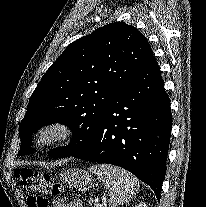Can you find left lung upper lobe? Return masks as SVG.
<instances>
[{
    "label": "left lung upper lobe",
    "mask_w": 206,
    "mask_h": 207,
    "mask_svg": "<svg viewBox=\"0 0 206 207\" xmlns=\"http://www.w3.org/2000/svg\"><path fill=\"white\" fill-rule=\"evenodd\" d=\"M153 57L135 27L123 22L105 25L71 43L42 77L20 123L19 155L33 153L31 132L62 122L74 132L70 144L49 155L67 157L93 140L112 100Z\"/></svg>",
    "instance_id": "obj_1"
}]
</instances>
